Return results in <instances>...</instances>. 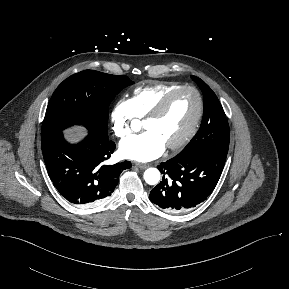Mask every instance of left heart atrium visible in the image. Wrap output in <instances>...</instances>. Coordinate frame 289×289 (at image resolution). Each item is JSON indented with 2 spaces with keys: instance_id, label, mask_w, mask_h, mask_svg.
I'll list each match as a JSON object with an SVG mask.
<instances>
[{
  "instance_id": "39dd6f15",
  "label": "left heart atrium",
  "mask_w": 289,
  "mask_h": 289,
  "mask_svg": "<svg viewBox=\"0 0 289 289\" xmlns=\"http://www.w3.org/2000/svg\"><path fill=\"white\" fill-rule=\"evenodd\" d=\"M165 147V144L155 133L146 131L122 140L119 151L124 158L147 162L161 156Z\"/></svg>"
}]
</instances>
